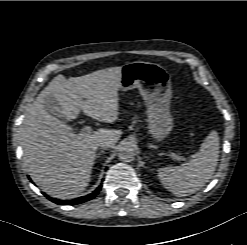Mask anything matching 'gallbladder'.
<instances>
[{
	"mask_svg": "<svg viewBox=\"0 0 247 245\" xmlns=\"http://www.w3.org/2000/svg\"><path fill=\"white\" fill-rule=\"evenodd\" d=\"M44 106L54 117H60L61 113L59 111V104L52 95H47L44 99Z\"/></svg>",
	"mask_w": 247,
	"mask_h": 245,
	"instance_id": "bac80fb5",
	"label": "gallbladder"
}]
</instances>
